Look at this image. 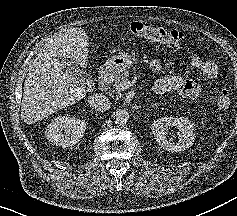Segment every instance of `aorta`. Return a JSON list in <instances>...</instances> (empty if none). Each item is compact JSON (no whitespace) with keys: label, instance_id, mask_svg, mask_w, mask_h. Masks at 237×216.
Returning a JSON list of instances; mask_svg holds the SVG:
<instances>
[{"label":"aorta","instance_id":"obj_1","mask_svg":"<svg viewBox=\"0 0 237 216\" xmlns=\"http://www.w3.org/2000/svg\"><path fill=\"white\" fill-rule=\"evenodd\" d=\"M129 120V114L126 110H118L114 114V122L118 125H124Z\"/></svg>","mask_w":237,"mask_h":216}]
</instances>
